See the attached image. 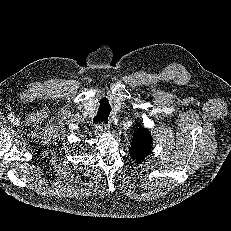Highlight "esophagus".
<instances>
[{
    "instance_id": "34e87169",
    "label": "esophagus",
    "mask_w": 231,
    "mask_h": 231,
    "mask_svg": "<svg viewBox=\"0 0 231 231\" xmlns=\"http://www.w3.org/2000/svg\"><path fill=\"white\" fill-rule=\"evenodd\" d=\"M97 132L103 133L109 130V125L107 123L101 122L100 125L97 126Z\"/></svg>"
}]
</instances>
